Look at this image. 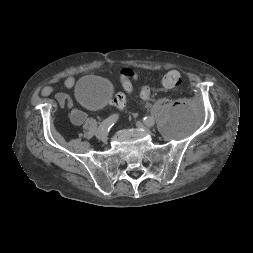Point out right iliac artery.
Listing matches in <instances>:
<instances>
[{"label":"right iliac artery","instance_id":"right-iliac-artery-1","mask_svg":"<svg viewBox=\"0 0 253 253\" xmlns=\"http://www.w3.org/2000/svg\"><path fill=\"white\" fill-rule=\"evenodd\" d=\"M118 120V115L117 114H113L111 115L110 117H108L107 119H105L103 122H101L99 124V128L98 129H104V130H107V129H110L114 124L115 122Z\"/></svg>","mask_w":253,"mask_h":253}]
</instances>
